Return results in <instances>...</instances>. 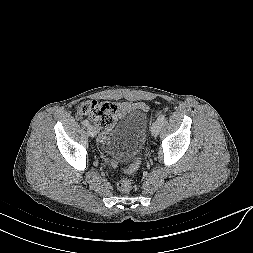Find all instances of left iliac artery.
<instances>
[{"label": "left iliac artery", "instance_id": "obj_1", "mask_svg": "<svg viewBox=\"0 0 253 253\" xmlns=\"http://www.w3.org/2000/svg\"><path fill=\"white\" fill-rule=\"evenodd\" d=\"M157 120L163 122L165 120V115H160Z\"/></svg>", "mask_w": 253, "mask_h": 253}]
</instances>
